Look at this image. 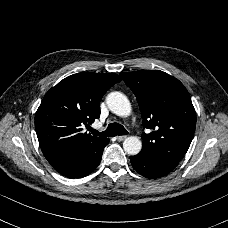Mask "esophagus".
<instances>
[{
    "label": "esophagus",
    "mask_w": 228,
    "mask_h": 228,
    "mask_svg": "<svg viewBox=\"0 0 228 228\" xmlns=\"http://www.w3.org/2000/svg\"><path fill=\"white\" fill-rule=\"evenodd\" d=\"M126 138H127L126 135H122V136H117V137H116V139H117L118 141H124Z\"/></svg>",
    "instance_id": "34e87169"
}]
</instances>
